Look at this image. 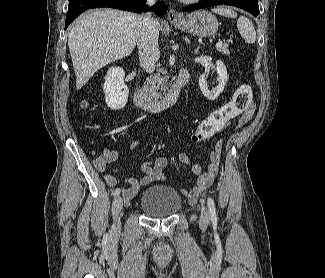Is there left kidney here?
Returning a JSON list of instances; mask_svg holds the SVG:
<instances>
[{
    "mask_svg": "<svg viewBox=\"0 0 325 278\" xmlns=\"http://www.w3.org/2000/svg\"><path fill=\"white\" fill-rule=\"evenodd\" d=\"M214 71H216V73L218 74V85L212 90H209L207 86V73L202 74L199 78L200 90L202 94L209 100L217 99V97L223 92L228 80L227 69L222 61L219 60L216 62V67L214 68Z\"/></svg>",
    "mask_w": 325,
    "mask_h": 278,
    "instance_id": "left-kidney-1",
    "label": "left kidney"
}]
</instances>
